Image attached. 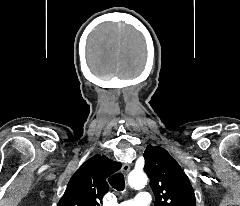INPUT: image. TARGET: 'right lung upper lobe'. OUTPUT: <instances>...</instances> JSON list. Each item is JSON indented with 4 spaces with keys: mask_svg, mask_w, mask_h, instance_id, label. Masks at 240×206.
Listing matches in <instances>:
<instances>
[{
    "mask_svg": "<svg viewBox=\"0 0 240 206\" xmlns=\"http://www.w3.org/2000/svg\"><path fill=\"white\" fill-rule=\"evenodd\" d=\"M121 168V163L106 156L88 159L71 177L57 206H100L108 191L106 178Z\"/></svg>",
    "mask_w": 240,
    "mask_h": 206,
    "instance_id": "right-lung-upper-lobe-1",
    "label": "right lung upper lobe"
}]
</instances>
